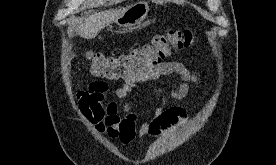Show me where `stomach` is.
<instances>
[{"mask_svg":"<svg viewBox=\"0 0 276 165\" xmlns=\"http://www.w3.org/2000/svg\"><path fill=\"white\" fill-rule=\"evenodd\" d=\"M149 12L148 3L139 1L128 8L120 17L115 20V23L120 28H131L140 24Z\"/></svg>","mask_w":276,"mask_h":165,"instance_id":"1","label":"stomach"}]
</instances>
